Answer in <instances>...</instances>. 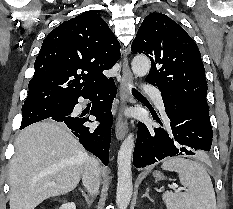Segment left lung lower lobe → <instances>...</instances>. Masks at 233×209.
<instances>
[{"mask_svg":"<svg viewBox=\"0 0 233 209\" xmlns=\"http://www.w3.org/2000/svg\"><path fill=\"white\" fill-rule=\"evenodd\" d=\"M161 94L170 124L167 129L138 124L133 154V164L137 168L167 156L193 155L192 150L209 151L211 148L213 132L209 114L174 96ZM153 118L162 125L158 116Z\"/></svg>","mask_w":233,"mask_h":209,"instance_id":"obj_1","label":"left lung lower lobe"}]
</instances>
